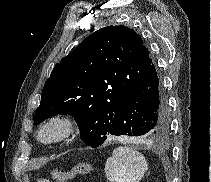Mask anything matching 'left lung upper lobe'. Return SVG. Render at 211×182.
<instances>
[{"mask_svg": "<svg viewBox=\"0 0 211 182\" xmlns=\"http://www.w3.org/2000/svg\"><path fill=\"white\" fill-rule=\"evenodd\" d=\"M152 59L132 29L108 26L85 38L51 72L34 124L57 114L77 122L81 139L98 147L111 134L115 117L145 77Z\"/></svg>", "mask_w": 211, "mask_h": 182, "instance_id": "1", "label": "left lung upper lobe"}]
</instances>
